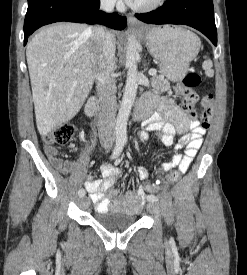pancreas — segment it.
Returning a JSON list of instances; mask_svg holds the SVG:
<instances>
[{
	"label": "pancreas",
	"mask_w": 247,
	"mask_h": 275,
	"mask_svg": "<svg viewBox=\"0 0 247 275\" xmlns=\"http://www.w3.org/2000/svg\"><path fill=\"white\" fill-rule=\"evenodd\" d=\"M151 84L154 91L166 92L170 90V84L161 76H154L151 78Z\"/></svg>",
	"instance_id": "obj_1"
}]
</instances>
